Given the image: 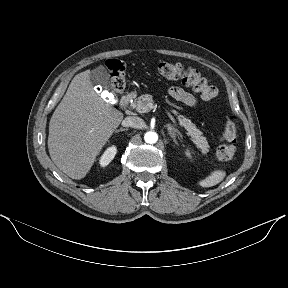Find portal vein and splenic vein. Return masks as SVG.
Instances as JSON below:
<instances>
[{
  "mask_svg": "<svg viewBox=\"0 0 288 288\" xmlns=\"http://www.w3.org/2000/svg\"><path fill=\"white\" fill-rule=\"evenodd\" d=\"M154 108H155V106L152 103H149V104H147V105H145V106L140 108V110H141L140 113L149 112L151 109H154ZM167 114L171 118V120L174 121L172 115L169 112H167Z\"/></svg>",
  "mask_w": 288,
  "mask_h": 288,
  "instance_id": "obj_1",
  "label": "portal vein and splenic vein"
}]
</instances>
